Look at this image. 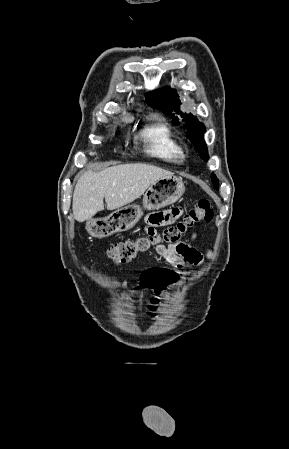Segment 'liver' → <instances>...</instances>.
I'll return each instance as SVG.
<instances>
[{"mask_svg": "<svg viewBox=\"0 0 289 449\" xmlns=\"http://www.w3.org/2000/svg\"><path fill=\"white\" fill-rule=\"evenodd\" d=\"M173 175L172 172L144 163L118 165L94 173L84 172L75 186L72 209L78 222L91 219L104 210V198L108 210L138 199L155 181Z\"/></svg>", "mask_w": 289, "mask_h": 449, "instance_id": "1", "label": "liver"}]
</instances>
